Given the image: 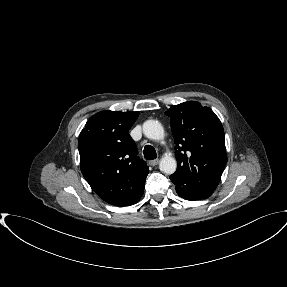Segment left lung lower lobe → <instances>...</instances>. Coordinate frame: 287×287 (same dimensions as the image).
<instances>
[{
  "label": "left lung lower lobe",
  "instance_id": "1",
  "mask_svg": "<svg viewBox=\"0 0 287 287\" xmlns=\"http://www.w3.org/2000/svg\"><path fill=\"white\" fill-rule=\"evenodd\" d=\"M178 195L186 200H199L212 195V191H191L180 186H175Z\"/></svg>",
  "mask_w": 287,
  "mask_h": 287
}]
</instances>
